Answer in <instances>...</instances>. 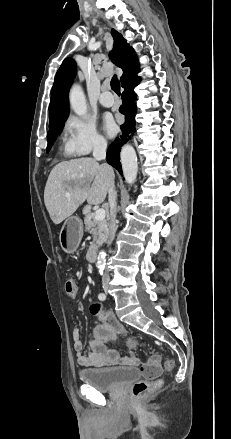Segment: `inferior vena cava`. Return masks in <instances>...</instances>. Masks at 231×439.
Segmentation results:
<instances>
[{
	"label": "inferior vena cava",
	"mask_w": 231,
	"mask_h": 439,
	"mask_svg": "<svg viewBox=\"0 0 231 439\" xmlns=\"http://www.w3.org/2000/svg\"><path fill=\"white\" fill-rule=\"evenodd\" d=\"M106 148H107V143L105 141L103 140L96 141L93 149V157L98 161L104 160L106 157ZM108 194H109L108 201L110 205L109 244H111L117 230V224H116L117 193L114 190V181H112L109 185ZM103 280L106 281L109 280V275L106 271V268L104 270Z\"/></svg>",
	"instance_id": "1"
}]
</instances>
